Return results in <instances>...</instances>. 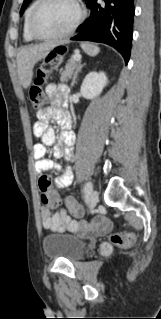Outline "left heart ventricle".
I'll list each match as a JSON object with an SVG mask.
<instances>
[{
    "label": "left heart ventricle",
    "mask_w": 161,
    "mask_h": 319,
    "mask_svg": "<svg viewBox=\"0 0 161 319\" xmlns=\"http://www.w3.org/2000/svg\"><path fill=\"white\" fill-rule=\"evenodd\" d=\"M76 16L71 0H49L35 19V29L40 35L48 36L64 31Z\"/></svg>",
    "instance_id": "1"
}]
</instances>
